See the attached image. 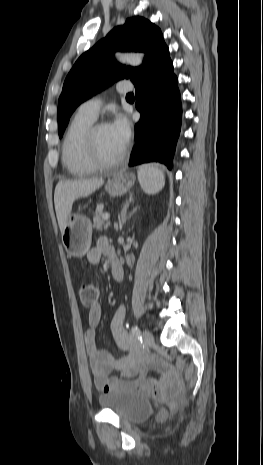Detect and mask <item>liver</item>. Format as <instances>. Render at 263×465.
I'll return each mask as SVG.
<instances>
[{"label": "liver", "instance_id": "1", "mask_svg": "<svg viewBox=\"0 0 263 465\" xmlns=\"http://www.w3.org/2000/svg\"><path fill=\"white\" fill-rule=\"evenodd\" d=\"M104 184L102 178L59 181L55 187L54 204L61 233L71 214L74 201L86 197Z\"/></svg>", "mask_w": 263, "mask_h": 465}]
</instances>
